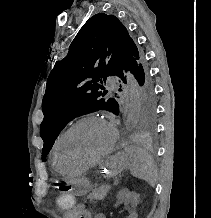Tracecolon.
<instances>
[{
    "mask_svg": "<svg viewBox=\"0 0 211 218\" xmlns=\"http://www.w3.org/2000/svg\"><path fill=\"white\" fill-rule=\"evenodd\" d=\"M57 204L63 209L75 208V197L69 189H60L59 195L57 196Z\"/></svg>",
    "mask_w": 211,
    "mask_h": 218,
    "instance_id": "colon-1",
    "label": "colon"
}]
</instances>
